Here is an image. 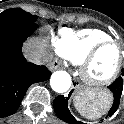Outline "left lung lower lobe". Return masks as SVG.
<instances>
[{"instance_id": "0a47b994", "label": "left lung lower lobe", "mask_w": 124, "mask_h": 124, "mask_svg": "<svg viewBox=\"0 0 124 124\" xmlns=\"http://www.w3.org/2000/svg\"><path fill=\"white\" fill-rule=\"evenodd\" d=\"M108 89L112 93L113 102L107 116H112L117 111L120 104L123 90V78L118 77L115 82L108 87ZM72 92L73 90L69 93L68 97L62 95L56 97L53 102L54 111L61 120L69 124H84L83 122L77 121L69 111L68 100Z\"/></svg>"}]
</instances>
